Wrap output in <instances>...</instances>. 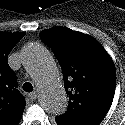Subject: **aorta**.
I'll return each instance as SVG.
<instances>
[{"label": "aorta", "mask_w": 125, "mask_h": 125, "mask_svg": "<svg viewBox=\"0 0 125 125\" xmlns=\"http://www.w3.org/2000/svg\"><path fill=\"white\" fill-rule=\"evenodd\" d=\"M21 61L39 88L41 107L54 115L63 114L67 109L68 98L49 52L43 46L34 44L22 51Z\"/></svg>", "instance_id": "762f6f07"}]
</instances>
